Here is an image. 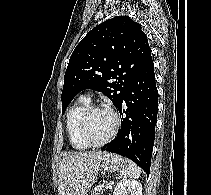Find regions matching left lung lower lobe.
<instances>
[{"label":"left lung lower lobe","mask_w":211,"mask_h":195,"mask_svg":"<svg viewBox=\"0 0 211 195\" xmlns=\"http://www.w3.org/2000/svg\"><path fill=\"white\" fill-rule=\"evenodd\" d=\"M118 110L121 129L101 150L126 156L149 175L158 112L153 60L135 77Z\"/></svg>","instance_id":"obj_1"}]
</instances>
